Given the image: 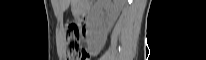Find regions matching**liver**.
<instances>
[{
    "label": "liver",
    "mask_w": 206,
    "mask_h": 60,
    "mask_svg": "<svg viewBox=\"0 0 206 60\" xmlns=\"http://www.w3.org/2000/svg\"><path fill=\"white\" fill-rule=\"evenodd\" d=\"M60 7L62 10L67 9L70 3H73L74 0H58ZM113 4L111 5V0L107 1L109 5H111V12L113 14V18L116 19L119 15L121 8L124 4V0H113Z\"/></svg>",
    "instance_id": "1"
}]
</instances>
